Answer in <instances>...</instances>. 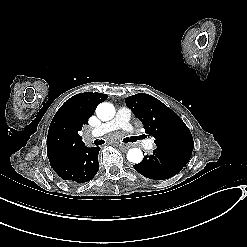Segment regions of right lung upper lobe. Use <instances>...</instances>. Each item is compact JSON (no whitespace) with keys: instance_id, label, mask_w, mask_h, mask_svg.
<instances>
[{"instance_id":"obj_1","label":"right lung upper lobe","mask_w":247,"mask_h":247,"mask_svg":"<svg viewBox=\"0 0 247 247\" xmlns=\"http://www.w3.org/2000/svg\"><path fill=\"white\" fill-rule=\"evenodd\" d=\"M107 98L103 93H80L59 108L50 123L47 136V155L51 167L63 163L85 146L78 132L94 114L96 106Z\"/></svg>"}]
</instances>
